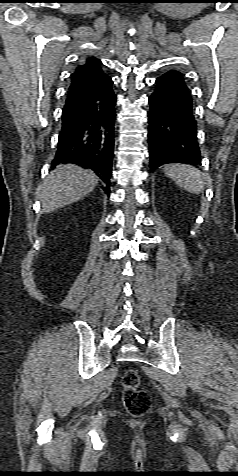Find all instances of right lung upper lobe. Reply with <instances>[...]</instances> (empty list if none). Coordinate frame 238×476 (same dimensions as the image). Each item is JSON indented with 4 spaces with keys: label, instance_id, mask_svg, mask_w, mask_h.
I'll list each match as a JSON object with an SVG mask.
<instances>
[{
    "label": "right lung upper lobe",
    "instance_id": "right-lung-upper-lobe-1",
    "mask_svg": "<svg viewBox=\"0 0 238 476\" xmlns=\"http://www.w3.org/2000/svg\"><path fill=\"white\" fill-rule=\"evenodd\" d=\"M101 61L95 57H88L83 64H79L71 75V83L67 92L65 106L84 98L95 90L108 76L101 68Z\"/></svg>",
    "mask_w": 238,
    "mask_h": 476
}]
</instances>
